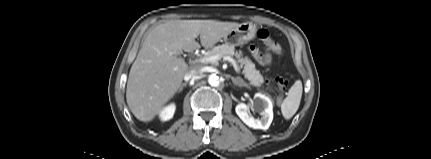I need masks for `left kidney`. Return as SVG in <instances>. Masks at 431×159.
Segmentation results:
<instances>
[{
	"label": "left kidney",
	"mask_w": 431,
	"mask_h": 159,
	"mask_svg": "<svg viewBox=\"0 0 431 159\" xmlns=\"http://www.w3.org/2000/svg\"><path fill=\"white\" fill-rule=\"evenodd\" d=\"M253 108L261 113L262 116L260 119H256L249 114V107L245 103H239L235 111L247 126L253 129L267 130L273 120V105L271 100L267 96L257 93L254 96Z\"/></svg>",
	"instance_id": "1"
}]
</instances>
